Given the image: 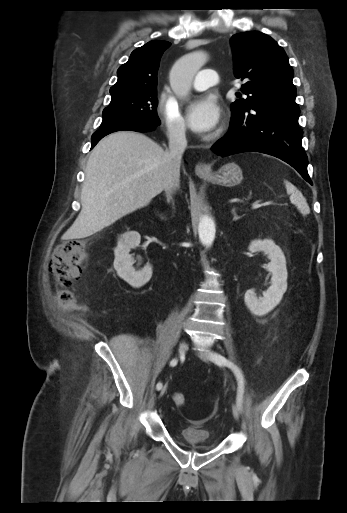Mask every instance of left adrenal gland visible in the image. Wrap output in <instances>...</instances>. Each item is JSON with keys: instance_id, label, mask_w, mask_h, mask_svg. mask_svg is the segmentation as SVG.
<instances>
[{"instance_id": "a2214340", "label": "left adrenal gland", "mask_w": 347, "mask_h": 513, "mask_svg": "<svg viewBox=\"0 0 347 513\" xmlns=\"http://www.w3.org/2000/svg\"><path fill=\"white\" fill-rule=\"evenodd\" d=\"M231 213L233 214V221L240 219L241 217L237 215L236 208H233Z\"/></svg>"}]
</instances>
